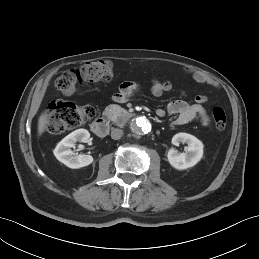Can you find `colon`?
Returning a JSON list of instances; mask_svg holds the SVG:
<instances>
[{
	"label": "colon",
	"mask_w": 259,
	"mask_h": 259,
	"mask_svg": "<svg viewBox=\"0 0 259 259\" xmlns=\"http://www.w3.org/2000/svg\"><path fill=\"white\" fill-rule=\"evenodd\" d=\"M112 77V63L109 60H96L63 73L57 79L56 87L63 95H72L84 82L109 81ZM210 113L216 129L223 130L227 124L224 109L221 106L213 105ZM95 116L94 106H78L71 102L55 100L47 108V130L51 134H61L80 126Z\"/></svg>",
	"instance_id": "5ec220e1"
}]
</instances>
